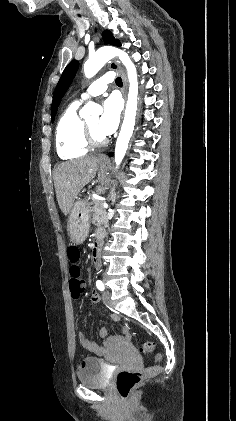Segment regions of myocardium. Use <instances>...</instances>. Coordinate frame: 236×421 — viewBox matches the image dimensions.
Returning <instances> with one entry per match:
<instances>
[{
    "instance_id": "1",
    "label": "myocardium",
    "mask_w": 236,
    "mask_h": 421,
    "mask_svg": "<svg viewBox=\"0 0 236 421\" xmlns=\"http://www.w3.org/2000/svg\"><path fill=\"white\" fill-rule=\"evenodd\" d=\"M80 136L83 141V143L88 148H95V147H101L106 144L107 138L103 136L102 138H95L89 128L87 120L83 119L80 125Z\"/></svg>"
}]
</instances>
